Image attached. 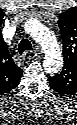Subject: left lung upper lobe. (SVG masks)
Returning a JSON list of instances; mask_svg holds the SVG:
<instances>
[{
  "instance_id": "obj_1",
  "label": "left lung upper lobe",
  "mask_w": 77,
  "mask_h": 125,
  "mask_svg": "<svg viewBox=\"0 0 77 125\" xmlns=\"http://www.w3.org/2000/svg\"><path fill=\"white\" fill-rule=\"evenodd\" d=\"M59 28L63 40L64 68L63 71L53 76L50 81L54 83L55 89L64 92L63 81L71 73L70 66L77 57V14L74 8L60 15Z\"/></svg>"
}]
</instances>
